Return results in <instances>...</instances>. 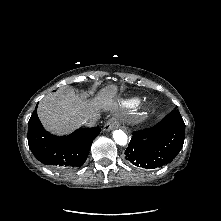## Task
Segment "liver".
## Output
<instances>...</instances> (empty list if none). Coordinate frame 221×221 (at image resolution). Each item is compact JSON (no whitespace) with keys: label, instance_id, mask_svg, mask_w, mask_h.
Here are the masks:
<instances>
[{"label":"liver","instance_id":"liver-1","mask_svg":"<svg viewBox=\"0 0 221 221\" xmlns=\"http://www.w3.org/2000/svg\"><path fill=\"white\" fill-rule=\"evenodd\" d=\"M116 86L102 89L93 99L80 98L71 87H62L46 95L38 105L42 125L57 135L68 134L83 124V120L113 107Z\"/></svg>","mask_w":221,"mask_h":221}]
</instances>
